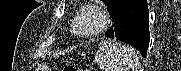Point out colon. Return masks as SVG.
Returning a JSON list of instances; mask_svg holds the SVG:
<instances>
[{
	"instance_id": "5ec220e1",
	"label": "colon",
	"mask_w": 181,
	"mask_h": 71,
	"mask_svg": "<svg viewBox=\"0 0 181 71\" xmlns=\"http://www.w3.org/2000/svg\"><path fill=\"white\" fill-rule=\"evenodd\" d=\"M63 71H84V69L69 64L63 67Z\"/></svg>"
}]
</instances>
